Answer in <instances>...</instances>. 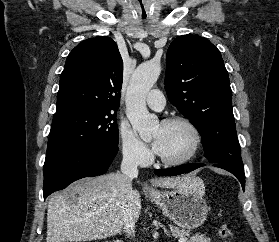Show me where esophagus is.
<instances>
[{"label":"esophagus","mask_w":279,"mask_h":242,"mask_svg":"<svg viewBox=\"0 0 279 242\" xmlns=\"http://www.w3.org/2000/svg\"><path fill=\"white\" fill-rule=\"evenodd\" d=\"M146 190H150V188L148 186H146Z\"/></svg>","instance_id":"1"}]
</instances>
